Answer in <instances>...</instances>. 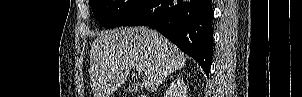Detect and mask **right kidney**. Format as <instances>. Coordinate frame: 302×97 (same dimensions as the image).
<instances>
[{
  "instance_id": "obj_1",
  "label": "right kidney",
  "mask_w": 302,
  "mask_h": 97,
  "mask_svg": "<svg viewBox=\"0 0 302 97\" xmlns=\"http://www.w3.org/2000/svg\"><path fill=\"white\" fill-rule=\"evenodd\" d=\"M186 90H187V85L182 79H176L174 80L169 89H168V94L169 95H178V97H185L186 96Z\"/></svg>"
}]
</instances>
